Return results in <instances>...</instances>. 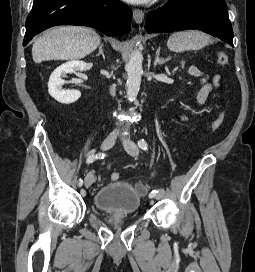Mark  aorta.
I'll use <instances>...</instances> for the list:
<instances>
[{
  "label": "aorta",
  "mask_w": 255,
  "mask_h": 272,
  "mask_svg": "<svg viewBox=\"0 0 255 272\" xmlns=\"http://www.w3.org/2000/svg\"><path fill=\"white\" fill-rule=\"evenodd\" d=\"M143 56L139 49L131 52L129 60L126 64L127 72V98L130 102L134 101L138 95L141 77L143 74L142 69Z\"/></svg>",
  "instance_id": "762f6f07"
}]
</instances>
